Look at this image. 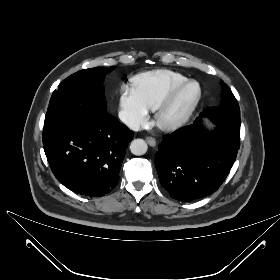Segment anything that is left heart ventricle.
Instances as JSON below:
<instances>
[{
	"label": "left heart ventricle",
	"instance_id": "1",
	"mask_svg": "<svg viewBox=\"0 0 280 280\" xmlns=\"http://www.w3.org/2000/svg\"><path fill=\"white\" fill-rule=\"evenodd\" d=\"M196 93L197 87L195 85L187 87L183 92H181V94L177 97L173 105L167 110V112L164 115V119L168 120L182 113L194 99Z\"/></svg>",
	"mask_w": 280,
	"mask_h": 280
}]
</instances>
